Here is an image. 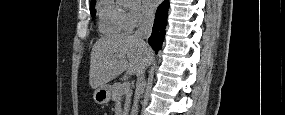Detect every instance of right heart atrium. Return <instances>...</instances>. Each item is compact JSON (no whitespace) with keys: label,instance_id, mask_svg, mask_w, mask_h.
<instances>
[{"label":"right heart atrium","instance_id":"d8ad5b80","mask_svg":"<svg viewBox=\"0 0 285 115\" xmlns=\"http://www.w3.org/2000/svg\"><path fill=\"white\" fill-rule=\"evenodd\" d=\"M126 20V30L131 32L136 28L149 25L152 21V14L146 11L142 6H137L126 12Z\"/></svg>","mask_w":285,"mask_h":115}]
</instances>
